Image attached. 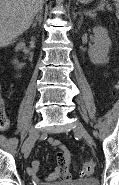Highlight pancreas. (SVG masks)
Here are the masks:
<instances>
[{"label":"pancreas","instance_id":"1","mask_svg":"<svg viewBox=\"0 0 119 185\" xmlns=\"http://www.w3.org/2000/svg\"><path fill=\"white\" fill-rule=\"evenodd\" d=\"M89 16L92 17V18H94L96 16V14L95 13H92Z\"/></svg>","mask_w":119,"mask_h":185}]
</instances>
